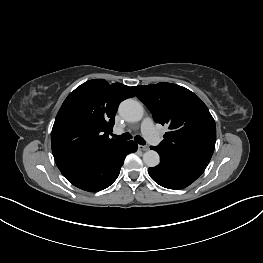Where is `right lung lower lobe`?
I'll return each mask as SVG.
<instances>
[{"label":"right lung lower lobe","mask_w":263,"mask_h":263,"mask_svg":"<svg viewBox=\"0 0 263 263\" xmlns=\"http://www.w3.org/2000/svg\"><path fill=\"white\" fill-rule=\"evenodd\" d=\"M136 150L134 141H123L85 161L63 167L60 171L74 186L98 192L117 179L125 157Z\"/></svg>","instance_id":"98d812e1"}]
</instances>
